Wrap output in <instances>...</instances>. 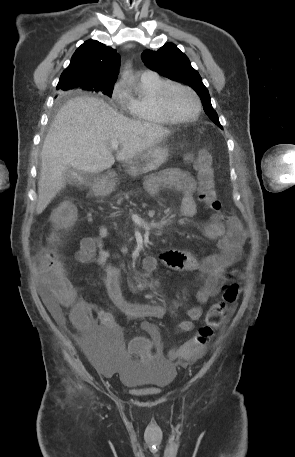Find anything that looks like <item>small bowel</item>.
Listing matches in <instances>:
<instances>
[{
    "instance_id": "1",
    "label": "small bowel",
    "mask_w": 295,
    "mask_h": 457,
    "mask_svg": "<svg viewBox=\"0 0 295 457\" xmlns=\"http://www.w3.org/2000/svg\"><path fill=\"white\" fill-rule=\"evenodd\" d=\"M145 186L147 192L152 196L166 190L180 192L182 194V214L187 217L195 215L196 204L193 194L196 190V183L189 173L179 169H167L148 179ZM203 231L208 238L217 240L218 253L198 260L186 251L167 249L159 257L148 256L143 260V268L147 272H154L161 263L173 270L197 271L202 274V285L196 293L198 305L190 308L187 312L188 319L179 323L178 329L181 332L193 330L194 323L203 315L202 305L220 292L224 272L239 260L246 240V234L240 222L234 217L221 218L214 215L204 226ZM108 236L107 226L102 225L96 237H83L79 249L75 253V259L82 264L95 262L99 265H105L110 257V252L105 247ZM120 275L118 267L108 265L104 269L102 278L108 295L119 312L135 319H162L166 316L167 308L162 304H142L127 301L121 291ZM42 283L44 285L42 297L48 310L57 321L62 322L63 316L59 301L53 294L48 277L44 273H42ZM93 311L94 307L91 304L79 301L77 319L73 320L71 317L81 333V338H102L103 336L118 334L119 326L110 312L97 307L94 317ZM142 328L150 335V339L146 338V341H150L152 348L155 345H162L158 329L153 323L144 321ZM203 353L195 358L201 357ZM127 356L131 358L134 355H129L128 350ZM153 356L154 353H152Z\"/></svg>"
}]
</instances>
